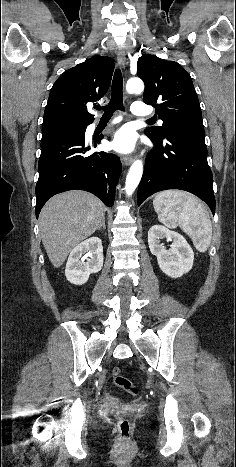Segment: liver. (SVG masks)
<instances>
[{"label":"liver","instance_id":"liver-1","mask_svg":"<svg viewBox=\"0 0 236 467\" xmlns=\"http://www.w3.org/2000/svg\"><path fill=\"white\" fill-rule=\"evenodd\" d=\"M104 216V204L91 193L74 190L53 196L39 216L42 242L52 265L59 268L101 226Z\"/></svg>","mask_w":236,"mask_h":467}]
</instances>
